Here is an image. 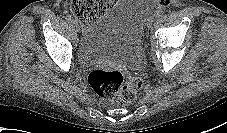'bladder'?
<instances>
[{"label": "bladder", "mask_w": 227, "mask_h": 133, "mask_svg": "<svg viewBox=\"0 0 227 133\" xmlns=\"http://www.w3.org/2000/svg\"><path fill=\"white\" fill-rule=\"evenodd\" d=\"M152 7V0H118L84 29L77 48L79 62L84 66L118 63L141 68L143 28Z\"/></svg>", "instance_id": "bladder-1"}]
</instances>
